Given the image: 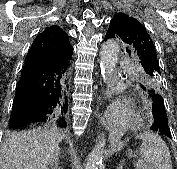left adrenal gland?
<instances>
[{"label":"left adrenal gland","mask_w":177,"mask_h":169,"mask_svg":"<svg viewBox=\"0 0 177 169\" xmlns=\"http://www.w3.org/2000/svg\"><path fill=\"white\" fill-rule=\"evenodd\" d=\"M123 164H124V160L121 161V163L117 169H123Z\"/></svg>","instance_id":"1"}]
</instances>
